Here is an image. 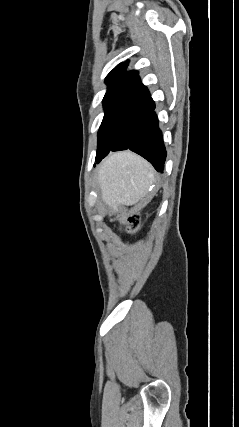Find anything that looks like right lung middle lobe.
Returning <instances> with one entry per match:
<instances>
[{
    "label": "right lung middle lobe",
    "mask_w": 239,
    "mask_h": 427,
    "mask_svg": "<svg viewBox=\"0 0 239 427\" xmlns=\"http://www.w3.org/2000/svg\"><path fill=\"white\" fill-rule=\"evenodd\" d=\"M103 105L105 115L98 131L96 162L110 151L126 148L132 133L151 109L149 101L136 98L103 100Z\"/></svg>",
    "instance_id": "right-lung-middle-lobe-1"
}]
</instances>
